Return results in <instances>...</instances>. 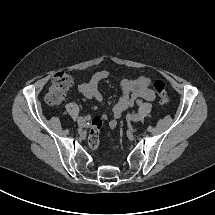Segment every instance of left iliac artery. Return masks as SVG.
<instances>
[{
  "instance_id": "left-iliac-artery-1",
  "label": "left iliac artery",
  "mask_w": 215,
  "mask_h": 215,
  "mask_svg": "<svg viewBox=\"0 0 215 215\" xmlns=\"http://www.w3.org/2000/svg\"><path fill=\"white\" fill-rule=\"evenodd\" d=\"M137 104H138V105L141 104V101H137Z\"/></svg>"
}]
</instances>
